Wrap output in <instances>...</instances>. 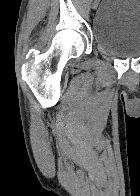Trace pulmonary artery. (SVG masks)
<instances>
[{"mask_svg":"<svg viewBox=\"0 0 140 196\" xmlns=\"http://www.w3.org/2000/svg\"><path fill=\"white\" fill-rule=\"evenodd\" d=\"M73 192H85V191H73Z\"/></svg>","mask_w":140,"mask_h":196,"instance_id":"pulmonary-artery-1","label":"pulmonary artery"}]
</instances>
